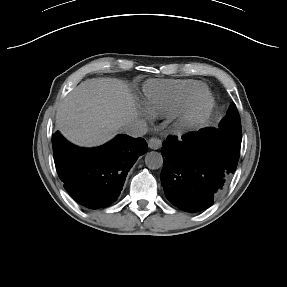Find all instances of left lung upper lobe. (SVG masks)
<instances>
[{
  "instance_id": "1",
  "label": "left lung upper lobe",
  "mask_w": 287,
  "mask_h": 287,
  "mask_svg": "<svg viewBox=\"0 0 287 287\" xmlns=\"http://www.w3.org/2000/svg\"><path fill=\"white\" fill-rule=\"evenodd\" d=\"M220 127L224 130H241L239 113L234 103L230 105L226 116L221 120Z\"/></svg>"
}]
</instances>
